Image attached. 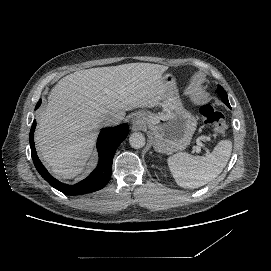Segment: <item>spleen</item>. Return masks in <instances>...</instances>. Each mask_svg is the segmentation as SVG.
I'll use <instances>...</instances> for the list:
<instances>
[{"label": "spleen", "instance_id": "1", "mask_svg": "<svg viewBox=\"0 0 271 271\" xmlns=\"http://www.w3.org/2000/svg\"><path fill=\"white\" fill-rule=\"evenodd\" d=\"M232 151V141L223 139L206 156L176 154L167 158V165L180 187L194 189L209 183L225 168Z\"/></svg>", "mask_w": 271, "mask_h": 271}]
</instances>
